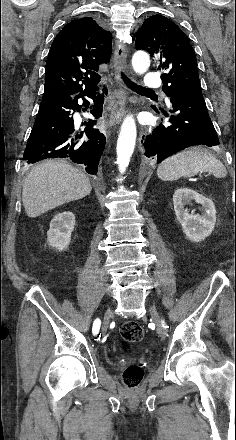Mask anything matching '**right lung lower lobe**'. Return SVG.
<instances>
[{"mask_svg": "<svg viewBox=\"0 0 236 440\" xmlns=\"http://www.w3.org/2000/svg\"><path fill=\"white\" fill-rule=\"evenodd\" d=\"M96 91L41 101L23 155L26 163L47 158H68L85 167L87 173L97 174L105 136L93 128L96 120L84 122L86 128L81 129L73 118L75 112L89 108L90 102L85 96L95 102L93 107L90 106L91 114L95 118L102 116L104 97L101 94L96 95ZM104 93L107 94V89H104Z\"/></svg>", "mask_w": 236, "mask_h": 440, "instance_id": "right-lung-lower-lobe-1", "label": "right lung lower lobe"}]
</instances>
